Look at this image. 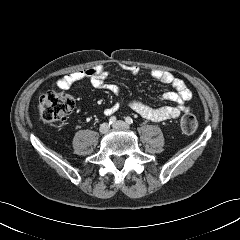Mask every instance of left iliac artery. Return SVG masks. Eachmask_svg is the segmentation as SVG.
Wrapping results in <instances>:
<instances>
[{
	"label": "left iliac artery",
	"instance_id": "left-iliac-artery-1",
	"mask_svg": "<svg viewBox=\"0 0 240 240\" xmlns=\"http://www.w3.org/2000/svg\"><path fill=\"white\" fill-rule=\"evenodd\" d=\"M125 121H126V123H128V124H132V123H133V120H132L131 117H126V118H125Z\"/></svg>",
	"mask_w": 240,
	"mask_h": 240
}]
</instances>
